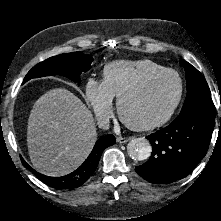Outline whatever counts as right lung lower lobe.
I'll list each match as a JSON object with an SVG mask.
<instances>
[{
	"label": "right lung lower lobe",
	"mask_w": 221,
	"mask_h": 221,
	"mask_svg": "<svg viewBox=\"0 0 221 221\" xmlns=\"http://www.w3.org/2000/svg\"><path fill=\"white\" fill-rule=\"evenodd\" d=\"M116 139L112 134H108L100 138L94 145V148L88 158L83 162V164L74 172L61 176V177H49L41 173H38L33 168H31L25 161L23 165L30 169V171L36 175L43 183L55 188V189H75L83 185L96 170L102 152L107 147L115 144Z\"/></svg>",
	"instance_id": "1"
}]
</instances>
